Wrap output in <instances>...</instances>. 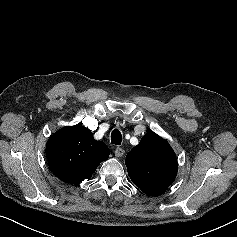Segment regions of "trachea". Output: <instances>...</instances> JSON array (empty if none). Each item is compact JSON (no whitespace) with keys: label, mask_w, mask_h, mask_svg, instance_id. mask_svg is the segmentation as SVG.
Listing matches in <instances>:
<instances>
[{"label":"trachea","mask_w":237,"mask_h":237,"mask_svg":"<svg viewBox=\"0 0 237 237\" xmlns=\"http://www.w3.org/2000/svg\"><path fill=\"white\" fill-rule=\"evenodd\" d=\"M122 141V135L118 129H115L111 133V143L120 145Z\"/></svg>","instance_id":"3493384b"}]
</instances>
